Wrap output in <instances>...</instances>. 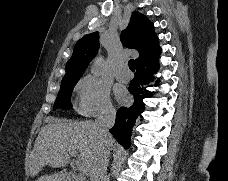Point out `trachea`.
<instances>
[{"mask_svg":"<svg viewBox=\"0 0 228 181\" xmlns=\"http://www.w3.org/2000/svg\"><path fill=\"white\" fill-rule=\"evenodd\" d=\"M128 66L130 70L134 71L135 70V61L133 59L129 60Z\"/></svg>","mask_w":228,"mask_h":181,"instance_id":"trachea-1","label":"trachea"}]
</instances>
